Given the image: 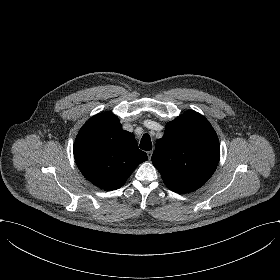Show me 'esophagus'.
Masks as SVG:
<instances>
[{
  "mask_svg": "<svg viewBox=\"0 0 280 280\" xmlns=\"http://www.w3.org/2000/svg\"><path fill=\"white\" fill-rule=\"evenodd\" d=\"M152 154H153V151H151V150L147 151V156H148L149 160L151 159Z\"/></svg>",
  "mask_w": 280,
  "mask_h": 280,
  "instance_id": "esophagus-1",
  "label": "esophagus"
}]
</instances>
